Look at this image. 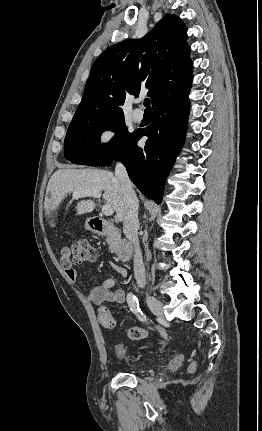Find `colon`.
I'll return each instance as SVG.
<instances>
[{"instance_id":"obj_1","label":"colon","mask_w":262,"mask_h":431,"mask_svg":"<svg viewBox=\"0 0 262 431\" xmlns=\"http://www.w3.org/2000/svg\"><path fill=\"white\" fill-rule=\"evenodd\" d=\"M64 258L73 261L74 263H86L94 259L95 248L85 240H77L65 245L62 248ZM100 324L106 329H113L115 321L107 310L99 313ZM147 336V331L141 327L133 326L128 330V337L131 340H143ZM196 368V362L193 361L189 365V372H193Z\"/></svg>"}]
</instances>
